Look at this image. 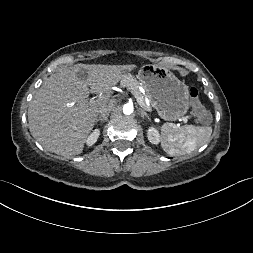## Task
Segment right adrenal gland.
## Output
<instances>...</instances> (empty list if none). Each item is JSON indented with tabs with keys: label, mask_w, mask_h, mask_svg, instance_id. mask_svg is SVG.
<instances>
[{
	"label": "right adrenal gland",
	"mask_w": 253,
	"mask_h": 253,
	"mask_svg": "<svg viewBox=\"0 0 253 253\" xmlns=\"http://www.w3.org/2000/svg\"><path fill=\"white\" fill-rule=\"evenodd\" d=\"M107 119H108V116H106V117H99L98 119H96V122H98V121H107Z\"/></svg>",
	"instance_id": "2a0ac1e0"
}]
</instances>
